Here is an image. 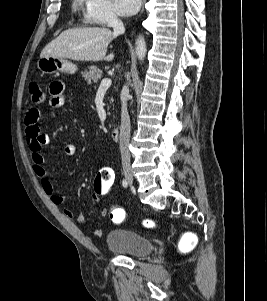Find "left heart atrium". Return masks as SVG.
I'll return each mask as SVG.
<instances>
[{"label": "left heart atrium", "instance_id": "39dd6f15", "mask_svg": "<svg viewBox=\"0 0 267 301\" xmlns=\"http://www.w3.org/2000/svg\"><path fill=\"white\" fill-rule=\"evenodd\" d=\"M116 9L123 16L135 14L141 5V0H115Z\"/></svg>", "mask_w": 267, "mask_h": 301}]
</instances>
